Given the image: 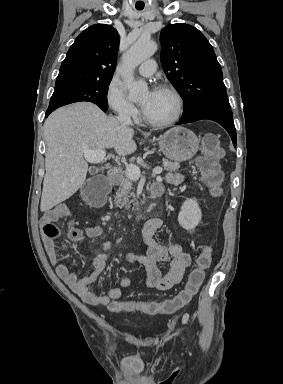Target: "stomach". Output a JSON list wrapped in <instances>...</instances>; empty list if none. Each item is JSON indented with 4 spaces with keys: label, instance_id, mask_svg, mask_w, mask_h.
<instances>
[{
    "label": "stomach",
    "instance_id": "stomach-1",
    "mask_svg": "<svg viewBox=\"0 0 283 384\" xmlns=\"http://www.w3.org/2000/svg\"><path fill=\"white\" fill-rule=\"evenodd\" d=\"M159 148L172 162H186L195 156L199 140L194 132L187 128H171L159 140Z\"/></svg>",
    "mask_w": 283,
    "mask_h": 384
}]
</instances>
